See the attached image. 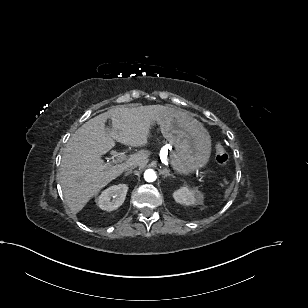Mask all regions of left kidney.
<instances>
[{
	"label": "left kidney",
	"mask_w": 308,
	"mask_h": 308,
	"mask_svg": "<svg viewBox=\"0 0 308 308\" xmlns=\"http://www.w3.org/2000/svg\"><path fill=\"white\" fill-rule=\"evenodd\" d=\"M173 197L177 203L185 205L200 204L203 195L198 191L191 190L187 186H183L173 193Z\"/></svg>",
	"instance_id": "left-kidney-1"
}]
</instances>
